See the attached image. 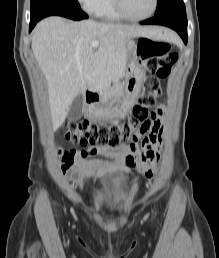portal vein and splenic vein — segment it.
<instances>
[{
    "mask_svg": "<svg viewBox=\"0 0 219 258\" xmlns=\"http://www.w3.org/2000/svg\"><path fill=\"white\" fill-rule=\"evenodd\" d=\"M98 46H99V42L98 41H92L91 42V47L97 48Z\"/></svg>",
    "mask_w": 219,
    "mask_h": 258,
    "instance_id": "portal-vein-and-splenic-vein-1",
    "label": "portal vein and splenic vein"
}]
</instances>
